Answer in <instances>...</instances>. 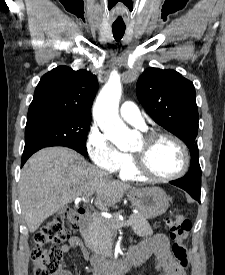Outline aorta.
Listing matches in <instances>:
<instances>
[{
  "mask_svg": "<svg viewBox=\"0 0 225 275\" xmlns=\"http://www.w3.org/2000/svg\"><path fill=\"white\" fill-rule=\"evenodd\" d=\"M122 87L119 80H109L100 91L93 115L100 129L119 149L129 150L135 142L134 133L118 114Z\"/></svg>",
  "mask_w": 225,
  "mask_h": 275,
  "instance_id": "762f6f07",
  "label": "aorta"
}]
</instances>
